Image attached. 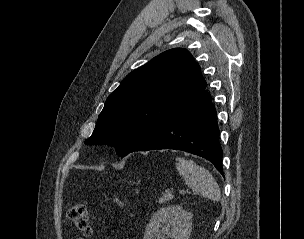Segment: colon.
Listing matches in <instances>:
<instances>
[{"label":"colon","mask_w":304,"mask_h":239,"mask_svg":"<svg viewBox=\"0 0 304 239\" xmlns=\"http://www.w3.org/2000/svg\"><path fill=\"white\" fill-rule=\"evenodd\" d=\"M68 219L73 226L85 236H90L93 232L92 222L88 208L82 201L72 204L67 210Z\"/></svg>","instance_id":"colon-1"}]
</instances>
